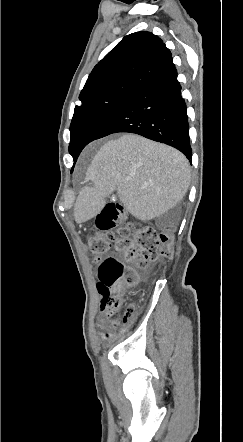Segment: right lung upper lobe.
<instances>
[{
	"mask_svg": "<svg viewBox=\"0 0 243 442\" xmlns=\"http://www.w3.org/2000/svg\"><path fill=\"white\" fill-rule=\"evenodd\" d=\"M173 64L170 50L151 32L125 36L92 70L79 100L134 90Z\"/></svg>",
	"mask_w": 243,
	"mask_h": 442,
	"instance_id": "right-lung-upper-lobe-1",
	"label": "right lung upper lobe"
}]
</instances>
